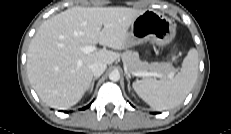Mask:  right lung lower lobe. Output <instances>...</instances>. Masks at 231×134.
I'll return each instance as SVG.
<instances>
[{
	"label": "right lung lower lobe",
	"mask_w": 231,
	"mask_h": 134,
	"mask_svg": "<svg viewBox=\"0 0 231 134\" xmlns=\"http://www.w3.org/2000/svg\"><path fill=\"white\" fill-rule=\"evenodd\" d=\"M90 105L86 106L85 108H88Z\"/></svg>",
	"instance_id": "right-lung-lower-lobe-1"
}]
</instances>
